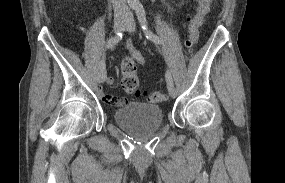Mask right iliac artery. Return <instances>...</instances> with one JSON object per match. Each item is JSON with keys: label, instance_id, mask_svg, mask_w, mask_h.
I'll return each instance as SVG.
<instances>
[{"label": "right iliac artery", "instance_id": "82829eb1", "mask_svg": "<svg viewBox=\"0 0 285 183\" xmlns=\"http://www.w3.org/2000/svg\"><path fill=\"white\" fill-rule=\"evenodd\" d=\"M122 39V33H117L114 37L110 38L106 42V49H112L114 46ZM100 69L105 68V60L102 59L100 64H99Z\"/></svg>", "mask_w": 285, "mask_h": 183}]
</instances>
